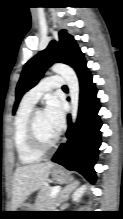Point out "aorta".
<instances>
[{
	"instance_id": "obj_1",
	"label": "aorta",
	"mask_w": 123,
	"mask_h": 219,
	"mask_svg": "<svg viewBox=\"0 0 123 219\" xmlns=\"http://www.w3.org/2000/svg\"><path fill=\"white\" fill-rule=\"evenodd\" d=\"M51 70L54 73L61 75L69 88V95H70V103H71V116L73 123L76 121L78 115V108H79V81L75 71L68 65L57 63L51 67Z\"/></svg>"
}]
</instances>
